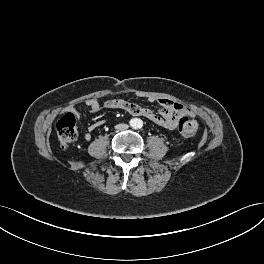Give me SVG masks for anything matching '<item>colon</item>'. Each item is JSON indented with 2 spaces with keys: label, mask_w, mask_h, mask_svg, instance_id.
I'll return each instance as SVG.
<instances>
[{
  "label": "colon",
  "mask_w": 264,
  "mask_h": 264,
  "mask_svg": "<svg viewBox=\"0 0 264 264\" xmlns=\"http://www.w3.org/2000/svg\"><path fill=\"white\" fill-rule=\"evenodd\" d=\"M198 122L191 117H182L179 121V131L185 138H193L198 132ZM59 142L63 148H68L77 138L76 116L73 112L65 113L56 124Z\"/></svg>",
  "instance_id": "5ec220e1"
}]
</instances>
